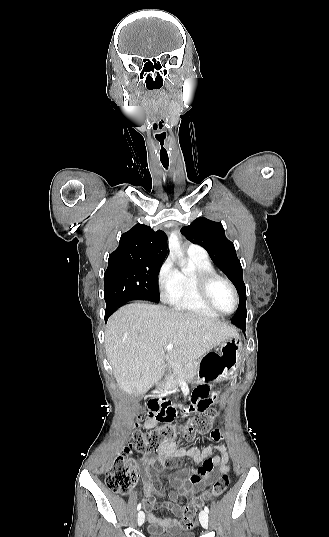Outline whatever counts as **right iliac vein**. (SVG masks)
I'll return each mask as SVG.
<instances>
[{
  "label": "right iliac vein",
  "mask_w": 329,
  "mask_h": 537,
  "mask_svg": "<svg viewBox=\"0 0 329 537\" xmlns=\"http://www.w3.org/2000/svg\"><path fill=\"white\" fill-rule=\"evenodd\" d=\"M145 521V514L143 511H140L137 515V522H138V525L141 526Z\"/></svg>",
  "instance_id": "1"
}]
</instances>
